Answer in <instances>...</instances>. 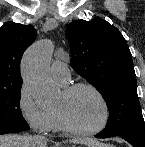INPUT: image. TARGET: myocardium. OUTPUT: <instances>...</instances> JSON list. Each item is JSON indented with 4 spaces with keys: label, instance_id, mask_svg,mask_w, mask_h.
Here are the masks:
<instances>
[{
    "label": "myocardium",
    "instance_id": "myocardium-1",
    "mask_svg": "<svg viewBox=\"0 0 145 147\" xmlns=\"http://www.w3.org/2000/svg\"><path fill=\"white\" fill-rule=\"evenodd\" d=\"M79 89H88L91 92H93L96 97L99 99L102 107H103V119L101 121V123L91 129H87V130H81L78 129L74 126H72L67 119L65 118L64 114L62 113V111L58 108H55L54 111L56 113L59 125L61 127L62 130H64L65 132L75 135V136H81V137H86V136H92L95 135L99 132H101L102 130H104L106 128V126L108 125L109 121H110V116H111V111H110V106L105 98V96L102 94V92L94 85L90 84V83H85V82H81V83H74L72 85L67 86L63 93L67 96L72 95L73 93H75L76 91H78Z\"/></svg>",
    "mask_w": 145,
    "mask_h": 147
}]
</instances>
